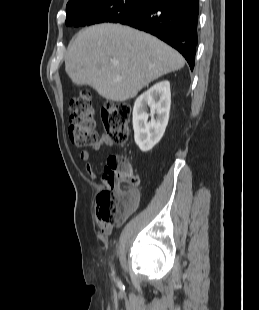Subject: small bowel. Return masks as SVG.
<instances>
[{
    "label": "small bowel",
    "instance_id": "c3829d8e",
    "mask_svg": "<svg viewBox=\"0 0 259 310\" xmlns=\"http://www.w3.org/2000/svg\"><path fill=\"white\" fill-rule=\"evenodd\" d=\"M113 145H114V142L108 136L102 135L100 137L98 144L93 148L94 150H99L101 147H104V146L110 147ZM90 156H91V153L88 149H83L79 153V158L85 162V170L87 174L89 175L90 178L95 179L96 171L94 167L92 166V164L89 162ZM98 226L101 229L103 234H109L112 230L111 225H104L102 223H99Z\"/></svg>",
    "mask_w": 259,
    "mask_h": 310
}]
</instances>
